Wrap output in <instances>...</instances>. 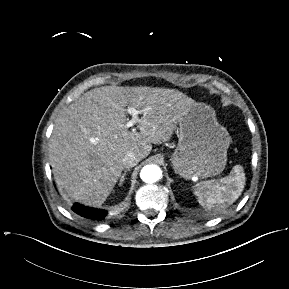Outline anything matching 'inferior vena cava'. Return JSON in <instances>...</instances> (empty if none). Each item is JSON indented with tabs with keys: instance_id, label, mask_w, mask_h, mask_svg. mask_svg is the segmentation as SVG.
<instances>
[{
	"instance_id": "obj_1",
	"label": "inferior vena cava",
	"mask_w": 289,
	"mask_h": 289,
	"mask_svg": "<svg viewBox=\"0 0 289 289\" xmlns=\"http://www.w3.org/2000/svg\"><path fill=\"white\" fill-rule=\"evenodd\" d=\"M141 159L135 155L133 152H129L123 158L124 168H132L138 164Z\"/></svg>"
}]
</instances>
